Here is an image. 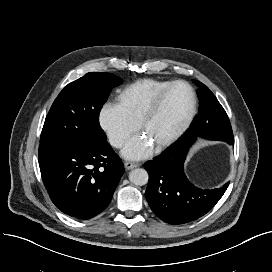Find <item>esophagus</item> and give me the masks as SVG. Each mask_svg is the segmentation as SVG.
<instances>
[{"instance_id": "1", "label": "esophagus", "mask_w": 272, "mask_h": 272, "mask_svg": "<svg viewBox=\"0 0 272 272\" xmlns=\"http://www.w3.org/2000/svg\"><path fill=\"white\" fill-rule=\"evenodd\" d=\"M124 165H125V168H126L127 170H130V169L139 167V166H140V163H135V162H125Z\"/></svg>"}]
</instances>
